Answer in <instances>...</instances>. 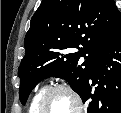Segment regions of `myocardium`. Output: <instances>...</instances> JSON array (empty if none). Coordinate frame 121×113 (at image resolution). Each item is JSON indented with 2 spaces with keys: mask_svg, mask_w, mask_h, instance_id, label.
Returning <instances> with one entry per match:
<instances>
[{
  "mask_svg": "<svg viewBox=\"0 0 121 113\" xmlns=\"http://www.w3.org/2000/svg\"><path fill=\"white\" fill-rule=\"evenodd\" d=\"M57 92H66L72 98V100L74 101L73 110H81L83 108V101L79 93L68 84L58 83L48 87L42 92L40 98L36 103L35 110L36 111L42 110L47 98H49L52 94ZM71 113H74V112H71Z\"/></svg>",
  "mask_w": 121,
  "mask_h": 113,
  "instance_id": "1",
  "label": "myocardium"
}]
</instances>
